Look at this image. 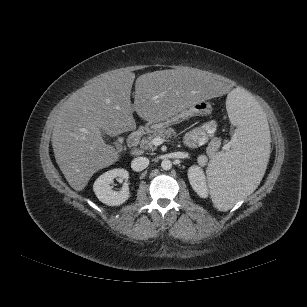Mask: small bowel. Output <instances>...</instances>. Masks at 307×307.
Returning <instances> with one entry per match:
<instances>
[{
  "mask_svg": "<svg viewBox=\"0 0 307 307\" xmlns=\"http://www.w3.org/2000/svg\"><path fill=\"white\" fill-rule=\"evenodd\" d=\"M216 130L217 124L215 121L206 122L200 127L187 133L184 138V142L190 147L203 145L212 135L215 134Z\"/></svg>",
  "mask_w": 307,
  "mask_h": 307,
  "instance_id": "c3829d8e",
  "label": "small bowel"
}]
</instances>
